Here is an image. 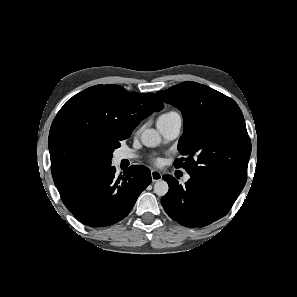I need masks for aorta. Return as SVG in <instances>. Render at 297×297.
<instances>
[{"label": "aorta", "mask_w": 297, "mask_h": 297, "mask_svg": "<svg viewBox=\"0 0 297 297\" xmlns=\"http://www.w3.org/2000/svg\"><path fill=\"white\" fill-rule=\"evenodd\" d=\"M141 141L147 147H155L160 144L161 136L155 129H146L141 134ZM169 186L164 180H157L154 184V192L158 196H165L168 193Z\"/></svg>", "instance_id": "1"}]
</instances>
